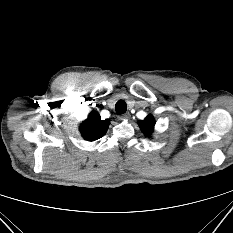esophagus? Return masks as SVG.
Wrapping results in <instances>:
<instances>
[{
	"label": "esophagus",
	"mask_w": 233,
	"mask_h": 233,
	"mask_svg": "<svg viewBox=\"0 0 233 233\" xmlns=\"http://www.w3.org/2000/svg\"><path fill=\"white\" fill-rule=\"evenodd\" d=\"M129 117H130L129 113H125V114L120 115L119 119L120 120H127V119H129Z\"/></svg>",
	"instance_id": "obj_1"
}]
</instances>
